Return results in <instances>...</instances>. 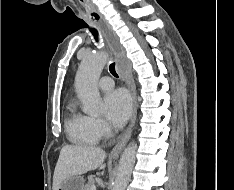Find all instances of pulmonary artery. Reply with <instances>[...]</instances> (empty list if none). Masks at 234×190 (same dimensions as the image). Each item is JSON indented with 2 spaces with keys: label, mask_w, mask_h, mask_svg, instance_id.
<instances>
[{
  "label": "pulmonary artery",
  "mask_w": 234,
  "mask_h": 190,
  "mask_svg": "<svg viewBox=\"0 0 234 190\" xmlns=\"http://www.w3.org/2000/svg\"><path fill=\"white\" fill-rule=\"evenodd\" d=\"M98 85H99L100 89H102L104 91L111 90L114 86L113 81L109 76L102 77L99 80Z\"/></svg>",
  "instance_id": "obj_1"
}]
</instances>
